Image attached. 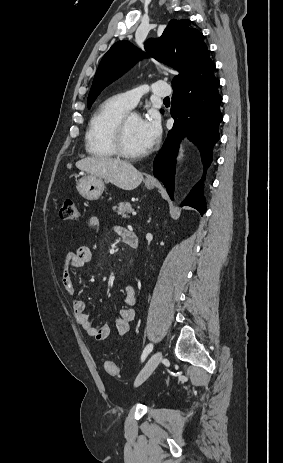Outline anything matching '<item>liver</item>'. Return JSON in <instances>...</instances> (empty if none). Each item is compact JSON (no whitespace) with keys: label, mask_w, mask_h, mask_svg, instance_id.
<instances>
[{"label":"liver","mask_w":283,"mask_h":463,"mask_svg":"<svg viewBox=\"0 0 283 463\" xmlns=\"http://www.w3.org/2000/svg\"><path fill=\"white\" fill-rule=\"evenodd\" d=\"M76 167L90 175L102 178L123 190H133L143 180V174L132 164L110 157H86L77 161Z\"/></svg>","instance_id":"liver-1"}]
</instances>
